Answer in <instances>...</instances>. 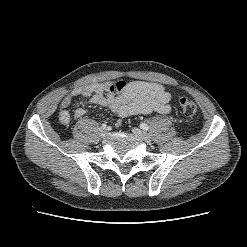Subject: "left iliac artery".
Segmentation results:
<instances>
[{
	"instance_id": "left-iliac-artery-1",
	"label": "left iliac artery",
	"mask_w": 247,
	"mask_h": 247,
	"mask_svg": "<svg viewBox=\"0 0 247 247\" xmlns=\"http://www.w3.org/2000/svg\"><path fill=\"white\" fill-rule=\"evenodd\" d=\"M140 128L145 130V131H147L149 129V126L147 124H145V123H141L140 124Z\"/></svg>"
}]
</instances>
